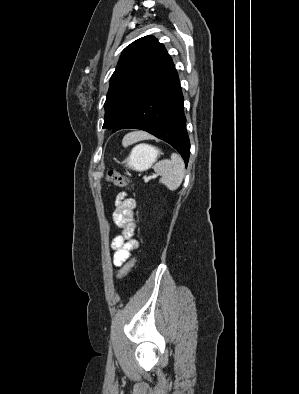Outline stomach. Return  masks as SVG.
Here are the masks:
<instances>
[{"label": "stomach", "instance_id": "stomach-1", "mask_svg": "<svg viewBox=\"0 0 299 394\" xmlns=\"http://www.w3.org/2000/svg\"><path fill=\"white\" fill-rule=\"evenodd\" d=\"M158 154L159 151L150 145H137L127 159V165L136 171L147 170L156 161Z\"/></svg>", "mask_w": 299, "mask_h": 394}]
</instances>
